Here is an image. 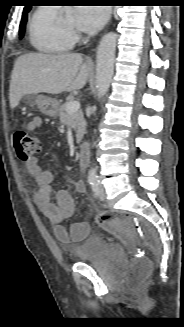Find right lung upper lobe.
I'll return each instance as SVG.
<instances>
[{
  "label": "right lung upper lobe",
  "mask_w": 184,
  "mask_h": 327,
  "mask_svg": "<svg viewBox=\"0 0 184 327\" xmlns=\"http://www.w3.org/2000/svg\"><path fill=\"white\" fill-rule=\"evenodd\" d=\"M26 14V9L24 8L23 15Z\"/></svg>",
  "instance_id": "1"
}]
</instances>
